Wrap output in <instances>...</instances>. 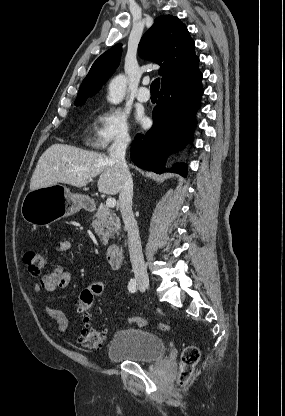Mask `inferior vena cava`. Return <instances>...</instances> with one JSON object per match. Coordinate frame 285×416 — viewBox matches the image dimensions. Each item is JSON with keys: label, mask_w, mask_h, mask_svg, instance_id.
I'll return each instance as SVG.
<instances>
[{"label": "inferior vena cava", "mask_w": 285, "mask_h": 416, "mask_svg": "<svg viewBox=\"0 0 285 416\" xmlns=\"http://www.w3.org/2000/svg\"><path fill=\"white\" fill-rule=\"evenodd\" d=\"M130 142L127 130L119 132L114 144L108 148L109 160L119 166L123 172L122 186L119 192L120 212L128 232V246L133 272L137 276H147L146 264L142 254L139 230L132 212L133 180L125 160L126 148Z\"/></svg>", "instance_id": "1"}]
</instances>
